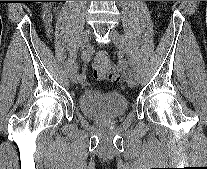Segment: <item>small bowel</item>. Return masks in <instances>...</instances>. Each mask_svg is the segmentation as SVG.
Instances as JSON below:
<instances>
[{
    "instance_id": "1",
    "label": "small bowel",
    "mask_w": 207,
    "mask_h": 169,
    "mask_svg": "<svg viewBox=\"0 0 207 169\" xmlns=\"http://www.w3.org/2000/svg\"><path fill=\"white\" fill-rule=\"evenodd\" d=\"M41 18L45 24L47 35L51 37L52 34L51 25H50L52 19L51 12L47 8L43 9L41 12Z\"/></svg>"
}]
</instances>
